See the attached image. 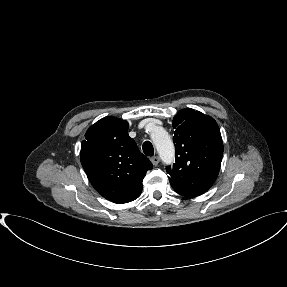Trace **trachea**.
<instances>
[{"label":"trachea","mask_w":287,"mask_h":287,"mask_svg":"<svg viewBox=\"0 0 287 287\" xmlns=\"http://www.w3.org/2000/svg\"><path fill=\"white\" fill-rule=\"evenodd\" d=\"M142 148H143V152L145 155H147V156H153L154 155V148H153L151 142L145 141L143 143Z\"/></svg>","instance_id":"obj_1"}]
</instances>
